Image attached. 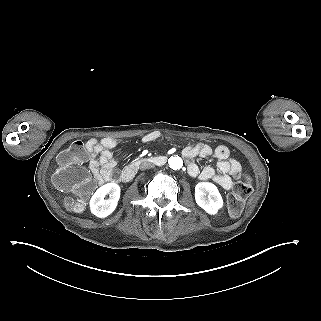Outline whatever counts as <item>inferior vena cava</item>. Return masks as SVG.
Wrapping results in <instances>:
<instances>
[{"mask_svg": "<svg viewBox=\"0 0 321 321\" xmlns=\"http://www.w3.org/2000/svg\"><path fill=\"white\" fill-rule=\"evenodd\" d=\"M155 165L154 163L150 162V161H143L140 164V170H146V169H150V168H154Z\"/></svg>", "mask_w": 321, "mask_h": 321, "instance_id": "602c4592", "label": "inferior vena cava"}]
</instances>
